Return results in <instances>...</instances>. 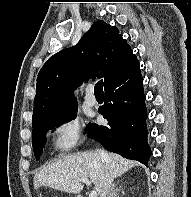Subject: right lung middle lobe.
I'll return each mask as SVG.
<instances>
[{
	"mask_svg": "<svg viewBox=\"0 0 191 197\" xmlns=\"http://www.w3.org/2000/svg\"><path fill=\"white\" fill-rule=\"evenodd\" d=\"M77 114V106H74L70 109H67L63 112H60L47 120L39 123L38 125L33 127V142L32 146L34 149V155L36 159L40 158L42 154L43 147L45 146L46 142V134L48 130H52L55 127L60 126L66 122H69L76 118ZM90 125V123H89Z\"/></svg>",
	"mask_w": 191,
	"mask_h": 197,
	"instance_id": "1",
	"label": "right lung middle lobe"
}]
</instances>
